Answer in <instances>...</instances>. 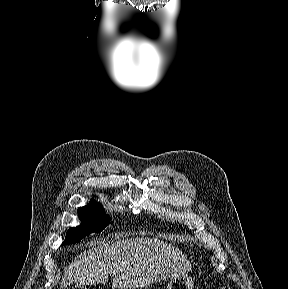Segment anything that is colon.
Returning a JSON list of instances; mask_svg holds the SVG:
<instances>
[{
  "label": "colon",
  "mask_w": 288,
  "mask_h": 289,
  "mask_svg": "<svg viewBox=\"0 0 288 289\" xmlns=\"http://www.w3.org/2000/svg\"><path fill=\"white\" fill-rule=\"evenodd\" d=\"M76 289H82V288H76ZM218 289H231V288H230V287L222 286V287H220V288H218Z\"/></svg>",
  "instance_id": "obj_1"
}]
</instances>
